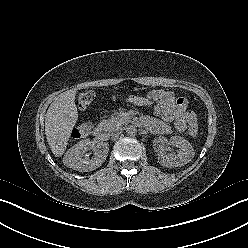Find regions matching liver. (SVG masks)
Returning a JSON list of instances; mask_svg holds the SVG:
<instances>
[{"label":"liver","instance_id":"obj_1","mask_svg":"<svg viewBox=\"0 0 248 248\" xmlns=\"http://www.w3.org/2000/svg\"><path fill=\"white\" fill-rule=\"evenodd\" d=\"M75 90L61 94L48 108L45 115V134L52 153L56 157L64 154L72 129L78 120Z\"/></svg>","mask_w":248,"mask_h":248}]
</instances>
